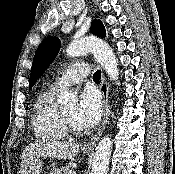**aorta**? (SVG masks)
<instances>
[{"label": "aorta", "mask_w": 175, "mask_h": 174, "mask_svg": "<svg viewBox=\"0 0 175 174\" xmlns=\"http://www.w3.org/2000/svg\"><path fill=\"white\" fill-rule=\"evenodd\" d=\"M66 52L70 57H78L91 52L96 61L106 71L109 78L112 81L118 80L119 69L116 56L110 46L101 39L96 37H84L80 40L73 41L69 44ZM57 101L62 105H71L76 103L77 97L66 88H62L59 91ZM111 152V138L109 136L103 137L95 149L92 171L90 174L108 173Z\"/></svg>", "instance_id": "762f6f07"}]
</instances>
